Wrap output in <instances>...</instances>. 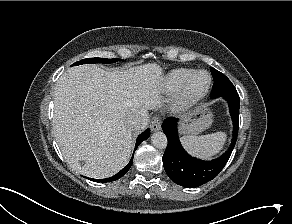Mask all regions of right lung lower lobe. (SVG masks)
I'll return each instance as SVG.
<instances>
[{"label":"right lung lower lobe","instance_id":"obj_1","mask_svg":"<svg viewBox=\"0 0 292 224\" xmlns=\"http://www.w3.org/2000/svg\"><path fill=\"white\" fill-rule=\"evenodd\" d=\"M149 135H150V130L146 129L143 133H141L138 136L134 151L136 150V148L138 147V145L142 141L146 140L149 137ZM132 161H133V156H132L130 162L120 172H118L117 174H115L112 177H109V178H106V179H91V178H88V179H90L92 181H96V182H111V181H115V180L121 178L123 175H125L128 172V170L130 169V167L132 165Z\"/></svg>","mask_w":292,"mask_h":224}]
</instances>
